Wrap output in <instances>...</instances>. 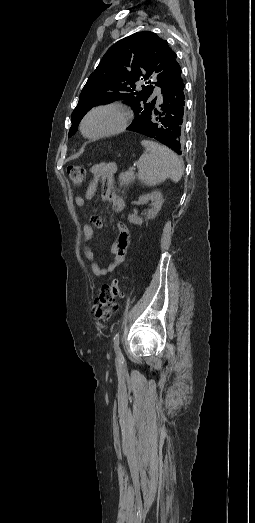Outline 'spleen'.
I'll return each instance as SVG.
<instances>
[{"label":"spleen","mask_w":255,"mask_h":523,"mask_svg":"<svg viewBox=\"0 0 255 523\" xmlns=\"http://www.w3.org/2000/svg\"><path fill=\"white\" fill-rule=\"evenodd\" d=\"M142 146L146 148L137 162L138 178L145 186H156L167 178L172 182H179L183 176L182 164L169 148L160 146L156 142L143 140Z\"/></svg>","instance_id":"obj_1"}]
</instances>
